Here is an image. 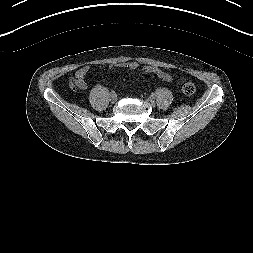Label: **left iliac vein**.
Segmentation results:
<instances>
[{"mask_svg":"<svg viewBox=\"0 0 253 253\" xmlns=\"http://www.w3.org/2000/svg\"><path fill=\"white\" fill-rule=\"evenodd\" d=\"M148 102L154 107L155 106V101L152 98L148 99Z\"/></svg>","mask_w":253,"mask_h":253,"instance_id":"4c4485c4","label":"left iliac vein"}]
</instances>
